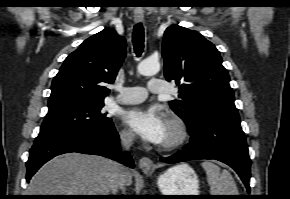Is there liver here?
I'll list each match as a JSON object with an SVG mask.
<instances>
[{"label": "liver", "instance_id": "6515ba94", "mask_svg": "<svg viewBox=\"0 0 290 199\" xmlns=\"http://www.w3.org/2000/svg\"><path fill=\"white\" fill-rule=\"evenodd\" d=\"M116 163L110 159L67 153L44 164L30 180V195H110ZM132 175L124 171L123 185Z\"/></svg>", "mask_w": 290, "mask_h": 199}]
</instances>
